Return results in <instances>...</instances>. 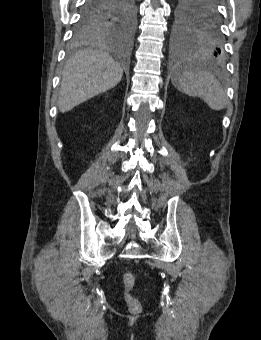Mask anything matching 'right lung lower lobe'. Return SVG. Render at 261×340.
Instances as JSON below:
<instances>
[{
  "label": "right lung lower lobe",
  "mask_w": 261,
  "mask_h": 340,
  "mask_svg": "<svg viewBox=\"0 0 261 340\" xmlns=\"http://www.w3.org/2000/svg\"><path fill=\"white\" fill-rule=\"evenodd\" d=\"M125 1L126 0H86L79 23H87L91 19L105 13L116 14L119 8H124Z\"/></svg>",
  "instance_id": "obj_1"
}]
</instances>
